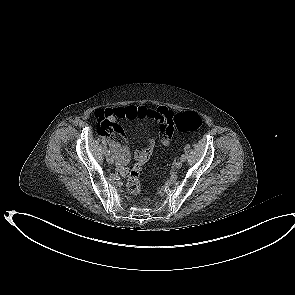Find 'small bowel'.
<instances>
[{
	"instance_id": "c3829d8e",
	"label": "small bowel",
	"mask_w": 295,
	"mask_h": 295,
	"mask_svg": "<svg viewBox=\"0 0 295 295\" xmlns=\"http://www.w3.org/2000/svg\"><path fill=\"white\" fill-rule=\"evenodd\" d=\"M167 108L159 107L158 109H151L146 106H136L130 105L126 107H118L115 109H98L95 112V118L97 122V131L99 134L103 135L112 149L114 155L117 159V168L119 172L123 175L127 174L128 168L127 164L130 160V152L127 146L122 145L116 141L113 136L109 133H114L115 135H122L124 133V128L115 123L116 118H126L129 120L134 119H144L150 120L154 125L159 127L160 130V139L163 145L167 146L170 144L172 133L170 131H162L160 129V124L162 120L165 119L168 113H170ZM147 146L143 149H138L134 153L136 155L142 150L146 149Z\"/></svg>"
}]
</instances>
